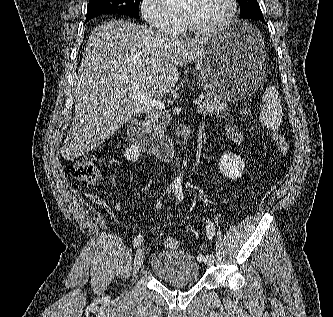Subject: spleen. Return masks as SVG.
<instances>
[{"instance_id": "obj_1", "label": "spleen", "mask_w": 333, "mask_h": 317, "mask_svg": "<svg viewBox=\"0 0 333 317\" xmlns=\"http://www.w3.org/2000/svg\"><path fill=\"white\" fill-rule=\"evenodd\" d=\"M263 101L265 109L260 114L259 120L268 129L276 131L281 124L283 113L281 99L275 86L266 88Z\"/></svg>"}]
</instances>
